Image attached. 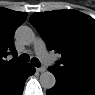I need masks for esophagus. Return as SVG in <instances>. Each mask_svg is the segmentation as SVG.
<instances>
[{"label":"esophagus","mask_w":95,"mask_h":95,"mask_svg":"<svg viewBox=\"0 0 95 95\" xmlns=\"http://www.w3.org/2000/svg\"><path fill=\"white\" fill-rule=\"evenodd\" d=\"M38 72H44L46 71V68L44 66L36 68Z\"/></svg>","instance_id":"obj_1"}]
</instances>
